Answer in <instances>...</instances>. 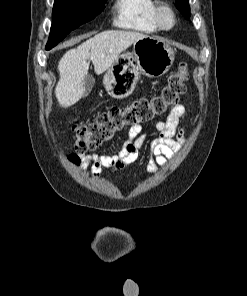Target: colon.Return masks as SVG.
I'll list each match as a JSON object with an SVG mask.
<instances>
[{
    "label": "colon",
    "instance_id": "colon-1",
    "mask_svg": "<svg viewBox=\"0 0 247 296\" xmlns=\"http://www.w3.org/2000/svg\"><path fill=\"white\" fill-rule=\"evenodd\" d=\"M187 78V66L181 64L155 95L140 98L125 107H111L92 122H75L72 129L76 136V153L70 156L71 161L77 163L79 154L97 149L128 126L147 122L163 115L184 94Z\"/></svg>",
    "mask_w": 247,
    "mask_h": 296
}]
</instances>
